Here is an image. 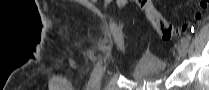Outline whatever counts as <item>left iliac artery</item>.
Listing matches in <instances>:
<instances>
[{
	"label": "left iliac artery",
	"mask_w": 209,
	"mask_h": 90,
	"mask_svg": "<svg viewBox=\"0 0 209 90\" xmlns=\"http://www.w3.org/2000/svg\"><path fill=\"white\" fill-rule=\"evenodd\" d=\"M181 41H182L185 45H187V47H188L189 42H188V40H187L185 37H183V38L181 39Z\"/></svg>",
	"instance_id": "obj_1"
}]
</instances>
